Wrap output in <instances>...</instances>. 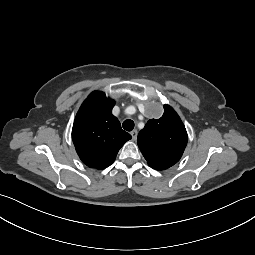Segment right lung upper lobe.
<instances>
[{
	"instance_id": "right-lung-upper-lobe-1",
	"label": "right lung upper lobe",
	"mask_w": 255,
	"mask_h": 255,
	"mask_svg": "<svg viewBox=\"0 0 255 255\" xmlns=\"http://www.w3.org/2000/svg\"><path fill=\"white\" fill-rule=\"evenodd\" d=\"M115 101L100 91L92 92L77 112L72 140L82 162L91 168L111 165L124 143L132 137L112 115Z\"/></svg>"
}]
</instances>
